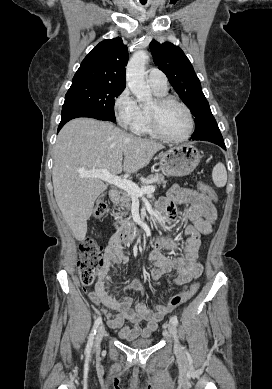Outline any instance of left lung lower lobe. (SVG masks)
I'll return each instance as SVG.
<instances>
[{"label":"left lung lower lobe","instance_id":"1","mask_svg":"<svg viewBox=\"0 0 272 389\" xmlns=\"http://www.w3.org/2000/svg\"><path fill=\"white\" fill-rule=\"evenodd\" d=\"M191 139L194 141H196V140L209 141V142H212V143L219 145L224 150H226V147H225V144L223 141V137L220 133V130H219L217 124L211 126L209 129L205 130L201 135L196 136V137H192Z\"/></svg>","mask_w":272,"mask_h":389}]
</instances>
